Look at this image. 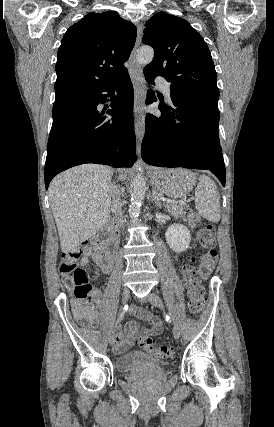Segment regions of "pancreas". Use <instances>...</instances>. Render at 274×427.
<instances>
[{"label": "pancreas", "mask_w": 274, "mask_h": 427, "mask_svg": "<svg viewBox=\"0 0 274 427\" xmlns=\"http://www.w3.org/2000/svg\"><path fill=\"white\" fill-rule=\"evenodd\" d=\"M165 208L175 217H179V215L185 214L186 210H190L187 204H165Z\"/></svg>", "instance_id": "pancreas-1"}]
</instances>
